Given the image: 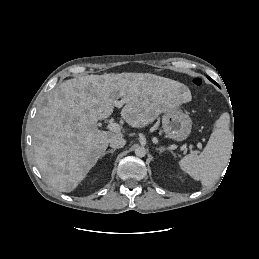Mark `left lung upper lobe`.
Wrapping results in <instances>:
<instances>
[{"label": "left lung upper lobe", "mask_w": 259, "mask_h": 259, "mask_svg": "<svg viewBox=\"0 0 259 259\" xmlns=\"http://www.w3.org/2000/svg\"><path fill=\"white\" fill-rule=\"evenodd\" d=\"M209 80H211L213 83H215L210 77H208Z\"/></svg>", "instance_id": "1"}]
</instances>
